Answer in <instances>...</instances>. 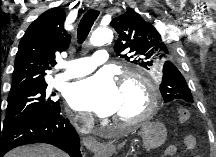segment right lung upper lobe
I'll return each instance as SVG.
<instances>
[{
  "label": "right lung upper lobe",
  "instance_id": "right-lung-upper-lobe-1",
  "mask_svg": "<svg viewBox=\"0 0 216 157\" xmlns=\"http://www.w3.org/2000/svg\"><path fill=\"white\" fill-rule=\"evenodd\" d=\"M65 11L52 8L26 30L16 54L10 92L47 85L45 70L56 64L55 53L65 51L71 36L64 29Z\"/></svg>",
  "mask_w": 216,
  "mask_h": 157
}]
</instances>
